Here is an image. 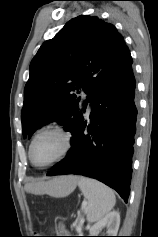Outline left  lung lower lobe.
<instances>
[{
    "instance_id": "1",
    "label": "left lung lower lobe",
    "mask_w": 158,
    "mask_h": 237,
    "mask_svg": "<svg viewBox=\"0 0 158 237\" xmlns=\"http://www.w3.org/2000/svg\"><path fill=\"white\" fill-rule=\"evenodd\" d=\"M135 86L128 66L96 93L90 101L91 122L87 124L83 117L72 133L66 158L47 175L95 178L128 201L137 122Z\"/></svg>"
}]
</instances>
